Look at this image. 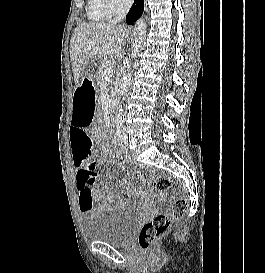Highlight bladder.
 I'll list each match as a JSON object with an SVG mask.
<instances>
[{"mask_svg": "<svg viewBox=\"0 0 265 273\" xmlns=\"http://www.w3.org/2000/svg\"><path fill=\"white\" fill-rule=\"evenodd\" d=\"M138 222L137 213L127 207L97 211L85 227L88 239L119 247L133 235Z\"/></svg>", "mask_w": 265, "mask_h": 273, "instance_id": "obj_1", "label": "bladder"}]
</instances>
